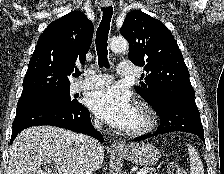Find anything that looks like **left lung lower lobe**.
Here are the masks:
<instances>
[{"label":"left lung lower lobe","mask_w":224,"mask_h":174,"mask_svg":"<svg viewBox=\"0 0 224 174\" xmlns=\"http://www.w3.org/2000/svg\"><path fill=\"white\" fill-rule=\"evenodd\" d=\"M194 98V92L167 91L161 93L156 102L151 104L160 116V125L153 134L137 137L134 141H142L173 131L189 132L204 141V130Z\"/></svg>","instance_id":"0a47b994"}]
</instances>
